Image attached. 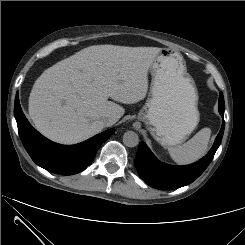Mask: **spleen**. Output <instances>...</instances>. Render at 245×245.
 Wrapping results in <instances>:
<instances>
[{"label": "spleen", "mask_w": 245, "mask_h": 245, "mask_svg": "<svg viewBox=\"0 0 245 245\" xmlns=\"http://www.w3.org/2000/svg\"><path fill=\"white\" fill-rule=\"evenodd\" d=\"M210 136V128L205 127L186 143L177 147H169L168 152L177 164L186 165L193 163L206 154Z\"/></svg>", "instance_id": "3e777b00"}]
</instances>
